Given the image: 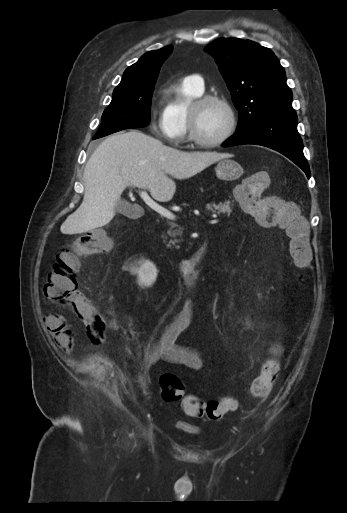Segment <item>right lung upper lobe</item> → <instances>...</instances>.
Masks as SVG:
<instances>
[{
    "instance_id": "obj_1",
    "label": "right lung upper lobe",
    "mask_w": 347,
    "mask_h": 513,
    "mask_svg": "<svg viewBox=\"0 0 347 513\" xmlns=\"http://www.w3.org/2000/svg\"><path fill=\"white\" fill-rule=\"evenodd\" d=\"M172 48V46H167L144 54L135 64L125 70L120 84L115 89L145 87L155 83L160 67L170 55Z\"/></svg>"
}]
</instances>
